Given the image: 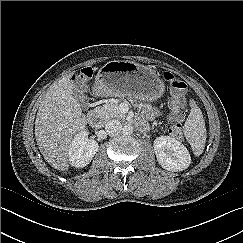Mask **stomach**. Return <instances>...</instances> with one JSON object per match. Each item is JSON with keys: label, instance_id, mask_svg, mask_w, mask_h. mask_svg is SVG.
Listing matches in <instances>:
<instances>
[{"label": "stomach", "instance_id": "obj_1", "mask_svg": "<svg viewBox=\"0 0 243 243\" xmlns=\"http://www.w3.org/2000/svg\"><path fill=\"white\" fill-rule=\"evenodd\" d=\"M97 90L105 96L153 101L165 90L163 81L148 66L133 61H109L95 78Z\"/></svg>", "mask_w": 243, "mask_h": 243}]
</instances>
